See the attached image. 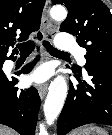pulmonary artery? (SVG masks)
<instances>
[{
	"label": "pulmonary artery",
	"instance_id": "obj_1",
	"mask_svg": "<svg viewBox=\"0 0 112 135\" xmlns=\"http://www.w3.org/2000/svg\"><path fill=\"white\" fill-rule=\"evenodd\" d=\"M55 44L58 49L65 52H73L77 58V60L81 64H85L84 53L78 48L75 40L68 34L59 33L56 37Z\"/></svg>",
	"mask_w": 112,
	"mask_h": 135
}]
</instances>
